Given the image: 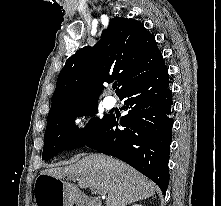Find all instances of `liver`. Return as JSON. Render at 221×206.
Masks as SVG:
<instances>
[{
    "mask_svg": "<svg viewBox=\"0 0 221 206\" xmlns=\"http://www.w3.org/2000/svg\"><path fill=\"white\" fill-rule=\"evenodd\" d=\"M55 178L68 177L81 188H97L107 194L106 206H127L155 194L156 185L126 163L103 154L85 155L66 167L41 172ZM77 189V186L70 184Z\"/></svg>",
    "mask_w": 221,
    "mask_h": 206,
    "instance_id": "6515ba94",
    "label": "liver"
}]
</instances>
